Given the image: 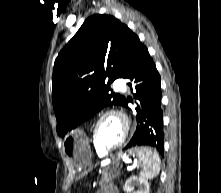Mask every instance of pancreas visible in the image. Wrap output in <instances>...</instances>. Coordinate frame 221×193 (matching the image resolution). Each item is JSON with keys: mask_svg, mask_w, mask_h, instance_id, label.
Instances as JSON below:
<instances>
[{"mask_svg": "<svg viewBox=\"0 0 221 193\" xmlns=\"http://www.w3.org/2000/svg\"><path fill=\"white\" fill-rule=\"evenodd\" d=\"M119 172L117 170L111 169L109 166L102 169L100 185L106 184L112 181L118 176Z\"/></svg>", "mask_w": 221, "mask_h": 193, "instance_id": "cf45deb5", "label": "pancreas"}]
</instances>
